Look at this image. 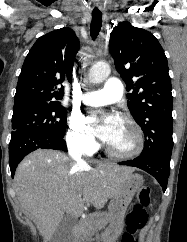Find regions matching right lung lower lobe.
<instances>
[{
    "mask_svg": "<svg viewBox=\"0 0 187 242\" xmlns=\"http://www.w3.org/2000/svg\"><path fill=\"white\" fill-rule=\"evenodd\" d=\"M54 149L67 152L63 137L45 133L14 132L11 134L9 143V165L11 176L14 177L15 170L20 161L30 152L36 149Z\"/></svg>",
    "mask_w": 187,
    "mask_h": 242,
    "instance_id": "98d812e1",
    "label": "right lung lower lobe"
}]
</instances>
